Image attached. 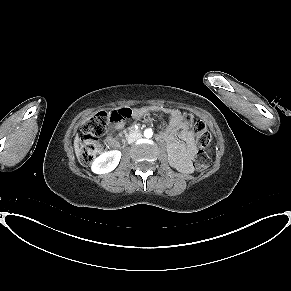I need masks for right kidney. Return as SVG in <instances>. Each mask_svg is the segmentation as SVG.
<instances>
[{
  "label": "right kidney",
  "instance_id": "1",
  "mask_svg": "<svg viewBox=\"0 0 291 291\" xmlns=\"http://www.w3.org/2000/svg\"><path fill=\"white\" fill-rule=\"evenodd\" d=\"M121 152L112 150L102 153L97 157L91 166L92 172L96 174H105L114 170L121 159Z\"/></svg>",
  "mask_w": 291,
  "mask_h": 291
}]
</instances>
